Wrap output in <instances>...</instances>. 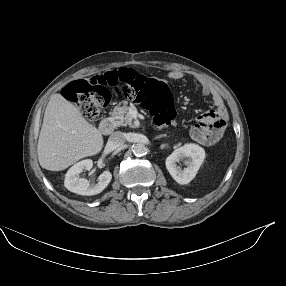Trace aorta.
Returning a JSON list of instances; mask_svg holds the SVG:
<instances>
[{
  "label": "aorta",
  "instance_id": "obj_1",
  "mask_svg": "<svg viewBox=\"0 0 286 286\" xmlns=\"http://www.w3.org/2000/svg\"><path fill=\"white\" fill-rule=\"evenodd\" d=\"M132 151L136 156H143L147 153V147L142 143H137L133 146Z\"/></svg>",
  "mask_w": 286,
  "mask_h": 286
}]
</instances>
